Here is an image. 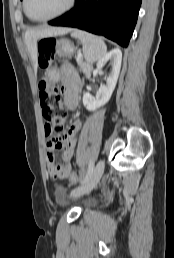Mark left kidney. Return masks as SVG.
Here are the masks:
<instances>
[{"label": "left kidney", "instance_id": "1", "mask_svg": "<svg viewBox=\"0 0 174 258\" xmlns=\"http://www.w3.org/2000/svg\"><path fill=\"white\" fill-rule=\"evenodd\" d=\"M109 60L112 61V71L106 78V85H100L99 95L96 96V98H93L90 93H84L83 95V104L89 111H94L97 108L105 105L111 98V95L115 89L122 61V52L120 49H113L109 53L104 55L98 61L97 68L93 71V75H97L103 68L104 64L107 63Z\"/></svg>", "mask_w": 174, "mask_h": 258}]
</instances>
